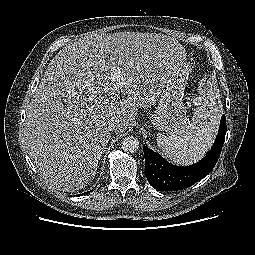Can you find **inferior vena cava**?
I'll list each match as a JSON object with an SVG mask.
<instances>
[{
	"label": "inferior vena cava",
	"mask_w": 255,
	"mask_h": 255,
	"mask_svg": "<svg viewBox=\"0 0 255 255\" xmlns=\"http://www.w3.org/2000/svg\"><path fill=\"white\" fill-rule=\"evenodd\" d=\"M118 126H119L118 120L112 119V120H110V122L108 123V126H107V127H108V130H109V131H115V130H117Z\"/></svg>",
	"instance_id": "obj_1"
}]
</instances>
